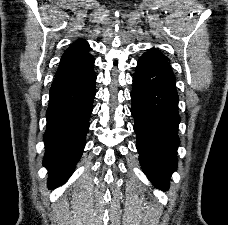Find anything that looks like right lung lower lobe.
<instances>
[{
    "mask_svg": "<svg viewBox=\"0 0 228 225\" xmlns=\"http://www.w3.org/2000/svg\"><path fill=\"white\" fill-rule=\"evenodd\" d=\"M91 54L60 63L50 89L44 134V166L49 188L62 185L79 161L89 128L95 97L96 75Z\"/></svg>",
    "mask_w": 228,
    "mask_h": 225,
    "instance_id": "1",
    "label": "right lung lower lobe"
}]
</instances>
